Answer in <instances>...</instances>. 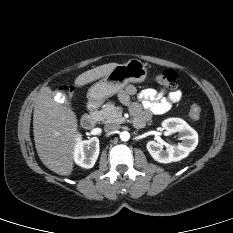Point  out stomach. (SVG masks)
<instances>
[{"label": "stomach", "instance_id": "1", "mask_svg": "<svg viewBox=\"0 0 233 233\" xmlns=\"http://www.w3.org/2000/svg\"><path fill=\"white\" fill-rule=\"evenodd\" d=\"M147 68L138 59H130L116 65L107 75L88 90V99L93 102L104 101L121 91L128 83H140L147 78Z\"/></svg>", "mask_w": 233, "mask_h": 233}]
</instances>
